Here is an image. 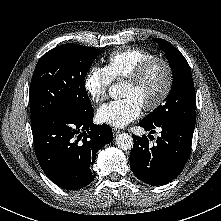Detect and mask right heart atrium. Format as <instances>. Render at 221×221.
Instances as JSON below:
<instances>
[{
  "label": "right heart atrium",
  "mask_w": 221,
  "mask_h": 221,
  "mask_svg": "<svg viewBox=\"0 0 221 221\" xmlns=\"http://www.w3.org/2000/svg\"><path fill=\"white\" fill-rule=\"evenodd\" d=\"M112 78L107 66H92L84 80V88L92 102L99 104L107 97Z\"/></svg>",
  "instance_id": "d8ad5b80"
}]
</instances>
